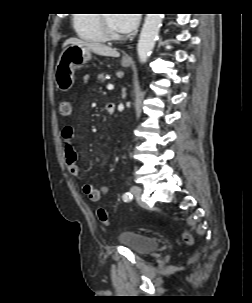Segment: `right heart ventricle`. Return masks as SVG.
<instances>
[{"label": "right heart ventricle", "mask_w": 252, "mask_h": 303, "mask_svg": "<svg viewBox=\"0 0 252 303\" xmlns=\"http://www.w3.org/2000/svg\"><path fill=\"white\" fill-rule=\"evenodd\" d=\"M73 24L77 33L87 40L94 42L105 40L99 14H78L74 18Z\"/></svg>", "instance_id": "right-heart-ventricle-1"}]
</instances>
